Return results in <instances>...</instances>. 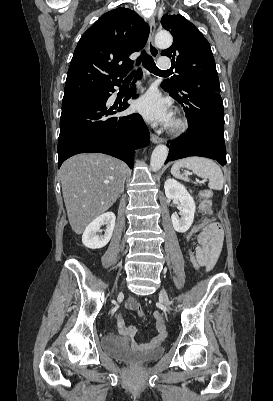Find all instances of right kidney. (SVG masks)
Instances as JSON below:
<instances>
[{"label": "right kidney", "mask_w": 273, "mask_h": 401, "mask_svg": "<svg viewBox=\"0 0 273 401\" xmlns=\"http://www.w3.org/2000/svg\"><path fill=\"white\" fill-rule=\"evenodd\" d=\"M115 219L114 213H104V215H100V217L94 219V221L86 227L82 235L83 245L88 247V249H102V247H105L112 237ZM101 225H107V229L105 235H101L100 237L97 233L100 231Z\"/></svg>", "instance_id": "ca27d5eb"}]
</instances>
